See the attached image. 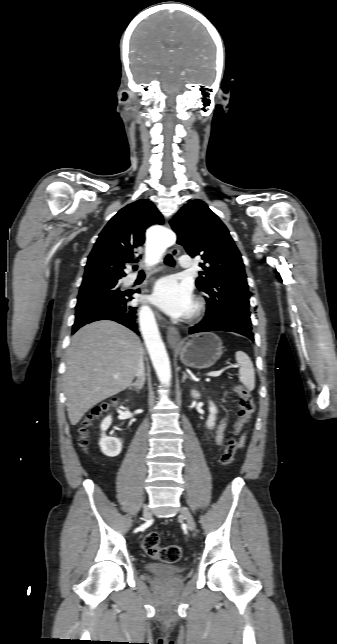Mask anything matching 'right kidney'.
Returning <instances> with one entry per match:
<instances>
[{
  "label": "right kidney",
  "mask_w": 337,
  "mask_h": 644,
  "mask_svg": "<svg viewBox=\"0 0 337 644\" xmlns=\"http://www.w3.org/2000/svg\"><path fill=\"white\" fill-rule=\"evenodd\" d=\"M112 422L111 416L106 417L101 423V438L99 445L101 451L109 457H115L120 454L122 450V441L115 437H107L105 431L110 427Z\"/></svg>",
  "instance_id": "obj_1"
}]
</instances>
